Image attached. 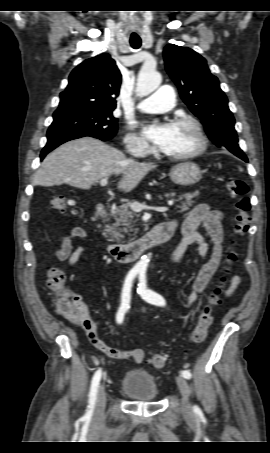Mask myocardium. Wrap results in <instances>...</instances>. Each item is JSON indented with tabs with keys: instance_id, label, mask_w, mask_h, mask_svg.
I'll use <instances>...</instances> for the list:
<instances>
[{
	"instance_id": "f54148a6",
	"label": "myocardium",
	"mask_w": 270,
	"mask_h": 453,
	"mask_svg": "<svg viewBox=\"0 0 270 453\" xmlns=\"http://www.w3.org/2000/svg\"><path fill=\"white\" fill-rule=\"evenodd\" d=\"M174 124L188 125L194 131L198 144L192 151L181 154H167L161 152L162 157L173 161H184L200 156L207 149V137L200 122L191 116H180L174 119Z\"/></svg>"
}]
</instances>
